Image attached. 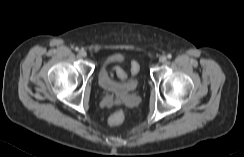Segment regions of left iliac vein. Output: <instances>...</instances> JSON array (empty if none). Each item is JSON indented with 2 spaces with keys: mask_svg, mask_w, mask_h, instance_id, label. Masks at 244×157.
<instances>
[{
  "mask_svg": "<svg viewBox=\"0 0 244 157\" xmlns=\"http://www.w3.org/2000/svg\"><path fill=\"white\" fill-rule=\"evenodd\" d=\"M159 61L161 62V63H165L166 61H167V57L166 56H161L160 58H159Z\"/></svg>",
  "mask_w": 244,
  "mask_h": 157,
  "instance_id": "4c4485c4",
  "label": "left iliac vein"
}]
</instances>
